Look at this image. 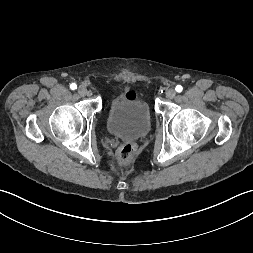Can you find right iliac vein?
I'll use <instances>...</instances> for the list:
<instances>
[{
  "instance_id": "right-iliac-vein-1",
  "label": "right iliac vein",
  "mask_w": 253,
  "mask_h": 253,
  "mask_svg": "<svg viewBox=\"0 0 253 253\" xmlns=\"http://www.w3.org/2000/svg\"><path fill=\"white\" fill-rule=\"evenodd\" d=\"M77 91H78V94L82 97H84L87 94V89L83 85L79 86Z\"/></svg>"
}]
</instances>
